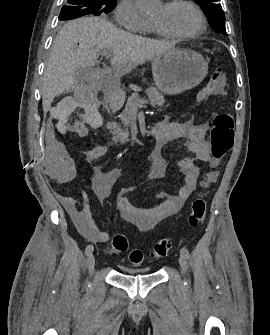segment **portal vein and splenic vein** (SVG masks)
Listing matches in <instances>:
<instances>
[{
    "label": "portal vein and splenic vein",
    "instance_id": "portal-vein-and-splenic-vein-1",
    "mask_svg": "<svg viewBox=\"0 0 270 335\" xmlns=\"http://www.w3.org/2000/svg\"><path fill=\"white\" fill-rule=\"evenodd\" d=\"M110 50H101L100 54H102V56H107V54H109ZM143 104H148L147 99L143 100Z\"/></svg>",
    "mask_w": 270,
    "mask_h": 335
}]
</instances>
